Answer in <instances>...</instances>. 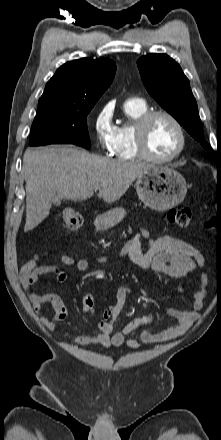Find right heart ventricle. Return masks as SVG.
Returning <instances> with one entry per match:
<instances>
[{
  "instance_id": "e07e8e85",
  "label": "right heart ventricle",
  "mask_w": 221,
  "mask_h": 440,
  "mask_svg": "<svg viewBox=\"0 0 221 440\" xmlns=\"http://www.w3.org/2000/svg\"><path fill=\"white\" fill-rule=\"evenodd\" d=\"M149 111L145 101L130 99L124 104V112L130 123L116 127L112 155L118 160H133L139 158L134 139V126L136 121Z\"/></svg>"
}]
</instances>
